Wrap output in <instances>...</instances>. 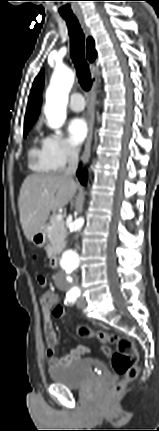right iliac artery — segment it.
Listing matches in <instances>:
<instances>
[{"label":"right iliac artery","instance_id":"82829eb1","mask_svg":"<svg viewBox=\"0 0 159 431\" xmlns=\"http://www.w3.org/2000/svg\"><path fill=\"white\" fill-rule=\"evenodd\" d=\"M79 293H80V291L78 288L71 289L66 294L65 303H73L76 300V298L79 296Z\"/></svg>","mask_w":159,"mask_h":431}]
</instances>
